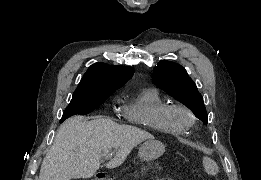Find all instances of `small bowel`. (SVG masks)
I'll return each mask as SVG.
<instances>
[{
    "mask_svg": "<svg viewBox=\"0 0 261 180\" xmlns=\"http://www.w3.org/2000/svg\"><path fill=\"white\" fill-rule=\"evenodd\" d=\"M162 179H167V177H166V176H163Z\"/></svg>",
    "mask_w": 261,
    "mask_h": 180,
    "instance_id": "small-bowel-1",
    "label": "small bowel"
}]
</instances>
